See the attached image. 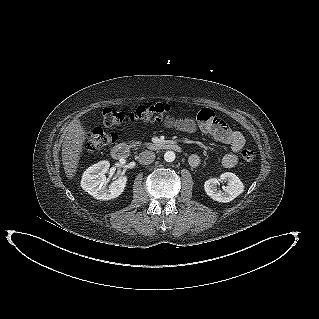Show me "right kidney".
Instances as JSON below:
<instances>
[{"label":"right kidney","instance_id":"right-kidney-1","mask_svg":"<svg viewBox=\"0 0 319 319\" xmlns=\"http://www.w3.org/2000/svg\"><path fill=\"white\" fill-rule=\"evenodd\" d=\"M110 163L100 161L88 167L81 179V187L91 196L99 200H110L118 197L124 191L127 177L120 176L107 186L105 174L109 170Z\"/></svg>","mask_w":319,"mask_h":319}]
</instances>
